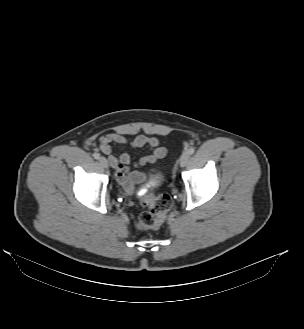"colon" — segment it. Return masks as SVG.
Wrapping results in <instances>:
<instances>
[{
    "mask_svg": "<svg viewBox=\"0 0 304 329\" xmlns=\"http://www.w3.org/2000/svg\"><path fill=\"white\" fill-rule=\"evenodd\" d=\"M147 211L143 212L137 221V225L145 229H158L166 218V214L172 206V199L168 194L152 192L145 201Z\"/></svg>",
    "mask_w": 304,
    "mask_h": 329,
    "instance_id": "obj_1",
    "label": "colon"
}]
</instances>
